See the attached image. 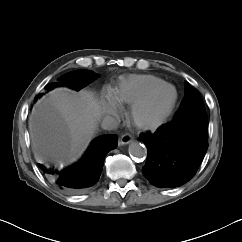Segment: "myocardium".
<instances>
[{
	"instance_id": "obj_1",
	"label": "myocardium",
	"mask_w": 242,
	"mask_h": 242,
	"mask_svg": "<svg viewBox=\"0 0 242 242\" xmlns=\"http://www.w3.org/2000/svg\"><path fill=\"white\" fill-rule=\"evenodd\" d=\"M165 89H172L174 96H173L172 102L170 103L169 107L167 108V110L165 111L163 116L159 120H157L153 123H146V122L141 121L138 118L139 111L144 106H146L158 93H160L161 91H163ZM178 98H179L178 91H177L176 87L172 84L165 83V84H162L160 86H157V87L151 89L144 96H142L140 99H138L131 105L130 114H129L131 123L136 128L143 130V131H156V130L160 129L171 118V116L176 108V105L178 103Z\"/></svg>"
}]
</instances>
